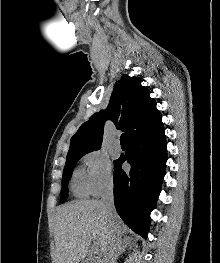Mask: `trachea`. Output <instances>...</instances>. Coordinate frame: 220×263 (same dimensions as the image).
<instances>
[{
  "mask_svg": "<svg viewBox=\"0 0 220 263\" xmlns=\"http://www.w3.org/2000/svg\"><path fill=\"white\" fill-rule=\"evenodd\" d=\"M120 141H121L122 143H125V142H126L125 133H123V134L121 135Z\"/></svg>",
  "mask_w": 220,
  "mask_h": 263,
  "instance_id": "trachea-1",
  "label": "trachea"
}]
</instances>
